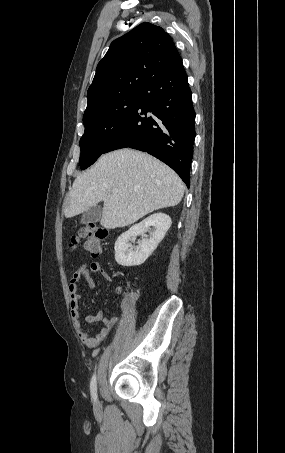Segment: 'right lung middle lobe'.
Segmentation results:
<instances>
[{
  "mask_svg": "<svg viewBox=\"0 0 285 453\" xmlns=\"http://www.w3.org/2000/svg\"><path fill=\"white\" fill-rule=\"evenodd\" d=\"M141 92H133L109 99L85 111L83 122L85 132L80 139V168L92 165L110 141L117 135L135 109Z\"/></svg>",
  "mask_w": 285,
  "mask_h": 453,
  "instance_id": "dd1d6c3e",
  "label": "right lung middle lobe"
}]
</instances>
